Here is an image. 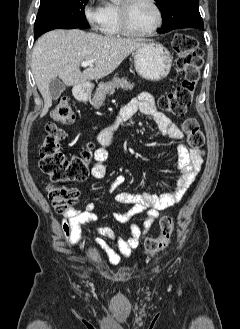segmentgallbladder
I'll list each match as a JSON object with an SVG mask.
<instances>
[{"label": "gallbladder", "instance_id": "obj_1", "mask_svg": "<svg viewBox=\"0 0 240 329\" xmlns=\"http://www.w3.org/2000/svg\"><path fill=\"white\" fill-rule=\"evenodd\" d=\"M66 90V86L60 79H53L49 83V93L52 100H56Z\"/></svg>", "mask_w": 240, "mask_h": 329}]
</instances>
